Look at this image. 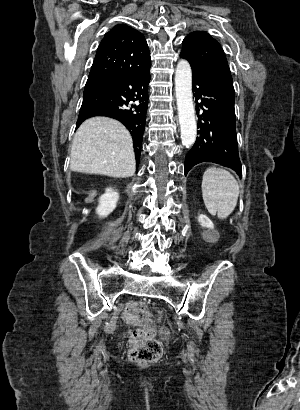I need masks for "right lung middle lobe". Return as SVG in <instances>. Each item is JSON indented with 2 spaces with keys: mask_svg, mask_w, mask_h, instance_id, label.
I'll list each match as a JSON object with an SVG mask.
<instances>
[{
  "mask_svg": "<svg viewBox=\"0 0 300 410\" xmlns=\"http://www.w3.org/2000/svg\"><path fill=\"white\" fill-rule=\"evenodd\" d=\"M97 84H99V83H89V82H87L86 85H85V88H89V87L95 86Z\"/></svg>",
  "mask_w": 300,
  "mask_h": 410,
  "instance_id": "1",
  "label": "right lung middle lobe"
}]
</instances>
